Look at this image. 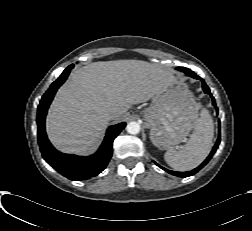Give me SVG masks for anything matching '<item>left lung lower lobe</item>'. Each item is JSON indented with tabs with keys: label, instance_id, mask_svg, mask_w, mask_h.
I'll return each mask as SVG.
<instances>
[{
	"label": "left lung lower lobe",
	"instance_id": "0a47b994",
	"mask_svg": "<svg viewBox=\"0 0 252 231\" xmlns=\"http://www.w3.org/2000/svg\"><path fill=\"white\" fill-rule=\"evenodd\" d=\"M180 71L184 72L185 74H187V75H189V76H191V77H193L195 79L201 80L202 81V88H203L204 92L207 93V94H209L210 96H212L211 93H210V90H209L208 86L206 85V83L204 82V80L202 78H200L199 76H197L193 71H191L188 68H181ZM212 104H213L214 107H216L214 97H212ZM217 113H218V109H217ZM219 143H220V129H219L218 139H217V141H216V143H215V145H214L211 153L209 154V156L206 158V160L200 166H198L197 168H195L192 171H188V172H176V171L166 170L165 168H163L161 166L160 167L163 170H165L168 173H170L172 175H175V176L188 177V176L194 175L195 173H197L202 167H204L209 162V160L211 159V157L213 156V154L217 150V148L219 146Z\"/></svg>",
	"mask_w": 252,
	"mask_h": 231
}]
</instances>
